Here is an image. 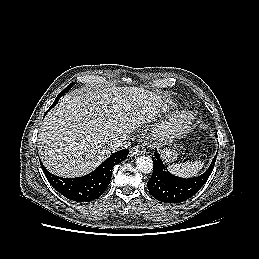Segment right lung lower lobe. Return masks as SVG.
I'll return each mask as SVG.
<instances>
[{"mask_svg": "<svg viewBox=\"0 0 259 259\" xmlns=\"http://www.w3.org/2000/svg\"><path fill=\"white\" fill-rule=\"evenodd\" d=\"M62 96L63 95L60 93L56 97L54 103L52 104L53 107ZM53 107L51 106L49 110ZM128 152L129 150H120L113 153L93 172L78 178H62L54 176L47 171L43 165L41 166L47 180L59 193L76 202H89L97 199L104 193L111 181L113 167L124 161L128 155Z\"/></svg>", "mask_w": 259, "mask_h": 259, "instance_id": "obj_1", "label": "right lung lower lobe"}]
</instances>
